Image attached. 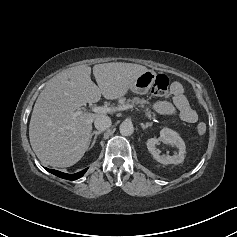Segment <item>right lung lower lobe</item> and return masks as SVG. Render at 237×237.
<instances>
[{
	"label": "right lung lower lobe",
	"instance_id": "1",
	"mask_svg": "<svg viewBox=\"0 0 237 237\" xmlns=\"http://www.w3.org/2000/svg\"><path fill=\"white\" fill-rule=\"evenodd\" d=\"M45 169L47 171H49L50 173H52L60 178L67 179V180H76V179L82 177L84 175V173L87 171V169H84V170H82L78 173H75V174H67V173H63V172L53 170V169H48V168H45Z\"/></svg>",
	"mask_w": 237,
	"mask_h": 237
}]
</instances>
